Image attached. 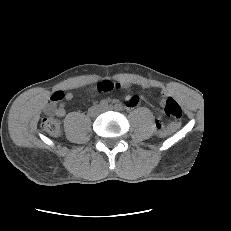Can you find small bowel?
I'll return each mask as SVG.
<instances>
[{
  "mask_svg": "<svg viewBox=\"0 0 231 231\" xmlns=\"http://www.w3.org/2000/svg\"><path fill=\"white\" fill-rule=\"evenodd\" d=\"M114 83L118 84L121 89L125 88L127 86V83L125 81H117ZM56 93H58L60 95V99H58L56 101H51L50 108H53L57 102H60L63 100L68 101V100H71L73 98V94L71 92L58 91ZM163 95L165 97V96H167V93L163 92ZM126 102H127V106L129 108L135 107L138 103V97L137 96H129L127 98ZM55 113L60 117H63L66 114V111H65L63 104H59L57 107H55Z\"/></svg>",
  "mask_w": 231,
  "mask_h": 231,
  "instance_id": "1",
  "label": "small bowel"
}]
</instances>
